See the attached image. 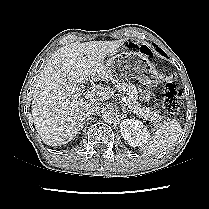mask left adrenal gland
Here are the masks:
<instances>
[{
    "mask_svg": "<svg viewBox=\"0 0 209 209\" xmlns=\"http://www.w3.org/2000/svg\"><path fill=\"white\" fill-rule=\"evenodd\" d=\"M129 110L126 108V105L123 104V108H122V115L124 116L126 112H128Z\"/></svg>",
    "mask_w": 209,
    "mask_h": 209,
    "instance_id": "obj_1",
    "label": "left adrenal gland"
}]
</instances>
